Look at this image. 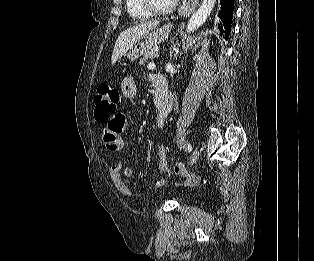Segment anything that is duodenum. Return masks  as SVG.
I'll list each match as a JSON object with an SVG mask.
<instances>
[{
    "instance_id": "obj_1",
    "label": "duodenum",
    "mask_w": 314,
    "mask_h": 261,
    "mask_svg": "<svg viewBox=\"0 0 314 261\" xmlns=\"http://www.w3.org/2000/svg\"><path fill=\"white\" fill-rule=\"evenodd\" d=\"M154 105L158 113L170 111L172 106V97L164 77L156 76L155 81Z\"/></svg>"
}]
</instances>
